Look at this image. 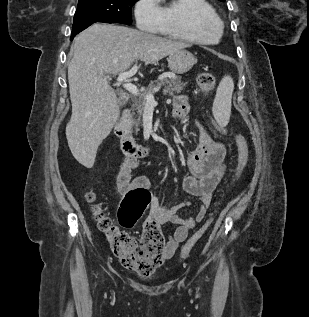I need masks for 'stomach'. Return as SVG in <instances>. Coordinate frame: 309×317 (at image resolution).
<instances>
[{"label":"stomach","instance_id":"stomach-1","mask_svg":"<svg viewBox=\"0 0 309 317\" xmlns=\"http://www.w3.org/2000/svg\"><path fill=\"white\" fill-rule=\"evenodd\" d=\"M197 62V58L189 51L181 49L168 58L169 69L177 74L188 72Z\"/></svg>","mask_w":309,"mask_h":317}]
</instances>
